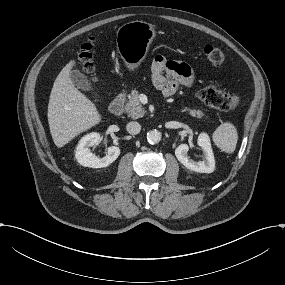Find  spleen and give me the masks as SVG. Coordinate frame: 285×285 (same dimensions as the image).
<instances>
[{"instance_id": "obj_1", "label": "spleen", "mask_w": 285, "mask_h": 285, "mask_svg": "<svg viewBox=\"0 0 285 285\" xmlns=\"http://www.w3.org/2000/svg\"><path fill=\"white\" fill-rule=\"evenodd\" d=\"M214 145L226 154H233L238 143V131L231 121H224L219 124L212 133Z\"/></svg>"}]
</instances>
